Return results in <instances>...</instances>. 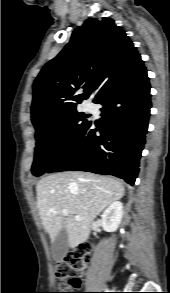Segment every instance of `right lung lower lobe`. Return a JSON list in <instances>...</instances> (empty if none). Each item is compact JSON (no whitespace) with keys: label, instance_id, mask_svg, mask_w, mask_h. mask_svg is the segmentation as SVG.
Segmentation results:
<instances>
[{"label":"right lung lower lobe","instance_id":"right-lung-lower-lobe-1","mask_svg":"<svg viewBox=\"0 0 170 293\" xmlns=\"http://www.w3.org/2000/svg\"><path fill=\"white\" fill-rule=\"evenodd\" d=\"M150 96L145 67L106 89L95 102L103 105L101 122L89 121L47 172L87 171L134 184L148 128Z\"/></svg>","mask_w":170,"mask_h":293}]
</instances>
